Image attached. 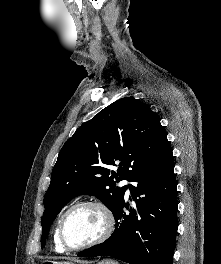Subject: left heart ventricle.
Instances as JSON below:
<instances>
[{
    "label": "left heart ventricle",
    "mask_w": 221,
    "mask_h": 264,
    "mask_svg": "<svg viewBox=\"0 0 221 264\" xmlns=\"http://www.w3.org/2000/svg\"><path fill=\"white\" fill-rule=\"evenodd\" d=\"M104 229L101 213L93 207H79L66 218L64 235L71 246H80L98 238Z\"/></svg>",
    "instance_id": "b2bd125f"
}]
</instances>
